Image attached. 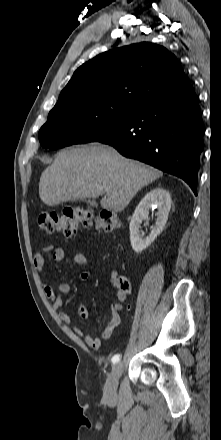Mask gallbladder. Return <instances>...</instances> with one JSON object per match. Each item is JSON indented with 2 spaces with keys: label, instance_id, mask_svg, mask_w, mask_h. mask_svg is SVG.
<instances>
[{
  "label": "gallbladder",
  "instance_id": "obj_1",
  "mask_svg": "<svg viewBox=\"0 0 221 440\" xmlns=\"http://www.w3.org/2000/svg\"><path fill=\"white\" fill-rule=\"evenodd\" d=\"M88 203L94 206H97V203L95 202V200H88Z\"/></svg>",
  "mask_w": 221,
  "mask_h": 440
}]
</instances>
